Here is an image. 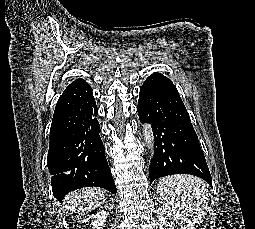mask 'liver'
Listing matches in <instances>:
<instances>
[{
  "label": "liver",
  "mask_w": 255,
  "mask_h": 229,
  "mask_svg": "<svg viewBox=\"0 0 255 229\" xmlns=\"http://www.w3.org/2000/svg\"><path fill=\"white\" fill-rule=\"evenodd\" d=\"M105 201V191L100 188L88 187L71 192L67 207L71 210L89 211L99 207Z\"/></svg>",
  "instance_id": "obj_1"
}]
</instances>
